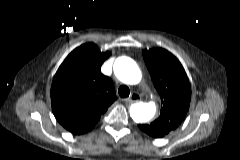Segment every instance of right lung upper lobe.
<instances>
[{
	"mask_svg": "<svg viewBox=\"0 0 240 160\" xmlns=\"http://www.w3.org/2000/svg\"><path fill=\"white\" fill-rule=\"evenodd\" d=\"M109 55L94 43L81 45L66 57L53 78L54 116L75 135L89 132L117 99L112 80L100 70Z\"/></svg>",
	"mask_w": 240,
	"mask_h": 160,
	"instance_id": "cb5924a9",
	"label": "right lung upper lobe"
}]
</instances>
